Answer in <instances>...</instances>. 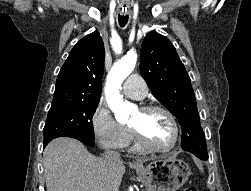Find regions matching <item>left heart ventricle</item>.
Masks as SVG:
<instances>
[{
  "label": "left heart ventricle",
  "mask_w": 251,
  "mask_h": 191,
  "mask_svg": "<svg viewBox=\"0 0 251 191\" xmlns=\"http://www.w3.org/2000/svg\"><path fill=\"white\" fill-rule=\"evenodd\" d=\"M131 126L142 131L147 141L159 149L170 148L175 141V132L170 118L162 111L144 112L138 110Z\"/></svg>",
  "instance_id": "left-heart-ventricle-1"
}]
</instances>
